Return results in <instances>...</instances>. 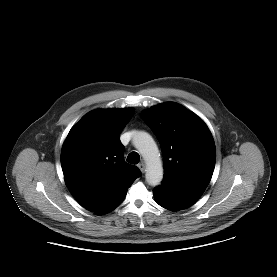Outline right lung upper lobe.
<instances>
[{"mask_svg":"<svg viewBox=\"0 0 277 277\" xmlns=\"http://www.w3.org/2000/svg\"><path fill=\"white\" fill-rule=\"evenodd\" d=\"M132 109H97L70 130L61 152L65 183L86 209L99 213L110 206L140 176L124 161L119 134Z\"/></svg>","mask_w":277,"mask_h":277,"instance_id":"1","label":"right lung upper lobe"}]
</instances>
